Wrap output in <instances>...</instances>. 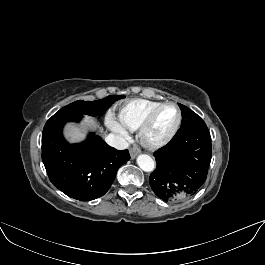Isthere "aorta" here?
I'll list each match as a JSON object with an SVG mask.
<instances>
[{"label": "aorta", "instance_id": "aorta-1", "mask_svg": "<svg viewBox=\"0 0 265 265\" xmlns=\"http://www.w3.org/2000/svg\"><path fill=\"white\" fill-rule=\"evenodd\" d=\"M137 164L145 172H151L155 168L154 160L146 154H141L137 157Z\"/></svg>", "mask_w": 265, "mask_h": 265}]
</instances>
